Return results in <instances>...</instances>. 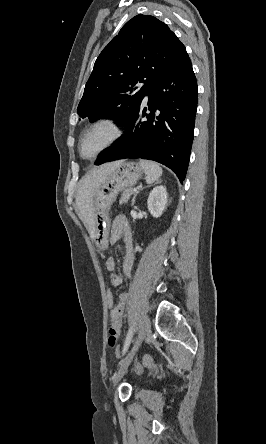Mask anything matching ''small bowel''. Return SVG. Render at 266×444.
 Here are the masks:
<instances>
[{"mask_svg": "<svg viewBox=\"0 0 266 444\" xmlns=\"http://www.w3.org/2000/svg\"><path fill=\"white\" fill-rule=\"evenodd\" d=\"M122 237L125 244V256L122 264V271L125 276H130L132 274L134 263L133 240L127 218L123 215H119L113 221L109 242L111 244H115ZM105 266L106 269L111 273V284L113 286L121 285L122 278L117 273H115V259L113 257H109L105 262ZM127 299L128 295L125 292L120 293L117 305L110 310L109 314V344L115 349L117 348L116 342L122 329L123 316Z\"/></svg>", "mask_w": 266, "mask_h": 444, "instance_id": "small-bowel-1", "label": "small bowel"}]
</instances>
